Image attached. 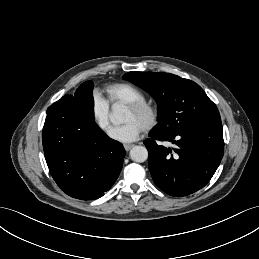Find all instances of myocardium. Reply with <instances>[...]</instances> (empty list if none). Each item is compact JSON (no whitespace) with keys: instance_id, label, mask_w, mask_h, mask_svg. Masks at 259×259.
<instances>
[{"instance_id":"myocardium-1","label":"myocardium","mask_w":259,"mask_h":259,"mask_svg":"<svg viewBox=\"0 0 259 259\" xmlns=\"http://www.w3.org/2000/svg\"><path fill=\"white\" fill-rule=\"evenodd\" d=\"M124 109L136 114H147L148 121L142 127L144 132H150L159 123L160 120V110L156 104L150 101H135L124 106Z\"/></svg>"}]
</instances>
